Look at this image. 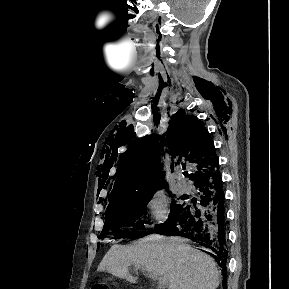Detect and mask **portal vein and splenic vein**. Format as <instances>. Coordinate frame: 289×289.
Wrapping results in <instances>:
<instances>
[{"label": "portal vein and splenic vein", "mask_w": 289, "mask_h": 289, "mask_svg": "<svg viewBox=\"0 0 289 289\" xmlns=\"http://www.w3.org/2000/svg\"><path fill=\"white\" fill-rule=\"evenodd\" d=\"M164 286V283L161 279H159V287L162 288Z\"/></svg>", "instance_id": "obj_1"}]
</instances>
